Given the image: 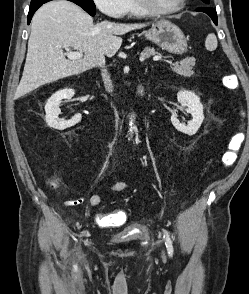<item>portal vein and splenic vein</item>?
Listing matches in <instances>:
<instances>
[{
    "label": "portal vein and splenic vein",
    "instance_id": "portal-vein-and-splenic-vein-1",
    "mask_svg": "<svg viewBox=\"0 0 249 294\" xmlns=\"http://www.w3.org/2000/svg\"><path fill=\"white\" fill-rule=\"evenodd\" d=\"M65 55L70 60L81 59L83 57L82 52H79V51H71L70 49H67V52L65 53ZM142 59H144V58H142ZM153 60L154 61H159V60H161V56H154L153 57Z\"/></svg>",
    "mask_w": 249,
    "mask_h": 294
}]
</instances>
